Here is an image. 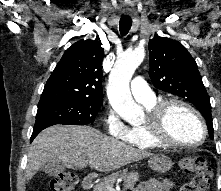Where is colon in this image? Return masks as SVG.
I'll list each match as a JSON object with an SVG mask.
<instances>
[{
	"instance_id": "obj_1",
	"label": "colon",
	"mask_w": 221,
	"mask_h": 191,
	"mask_svg": "<svg viewBox=\"0 0 221 191\" xmlns=\"http://www.w3.org/2000/svg\"><path fill=\"white\" fill-rule=\"evenodd\" d=\"M181 171L191 176L190 181L182 186V191H207L213 176L210 166L199 156H186L179 161ZM77 177L71 172H63L50 181L51 191H72Z\"/></svg>"
}]
</instances>
